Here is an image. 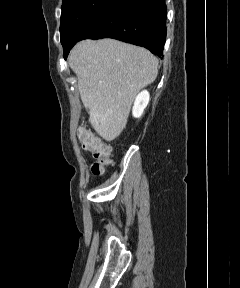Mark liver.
<instances>
[{
    "mask_svg": "<svg viewBox=\"0 0 240 288\" xmlns=\"http://www.w3.org/2000/svg\"><path fill=\"white\" fill-rule=\"evenodd\" d=\"M69 66L90 123L106 141L121 134L135 97L158 74V59L147 49L114 39L77 43Z\"/></svg>",
    "mask_w": 240,
    "mask_h": 288,
    "instance_id": "6515ba94",
    "label": "liver"
}]
</instances>
